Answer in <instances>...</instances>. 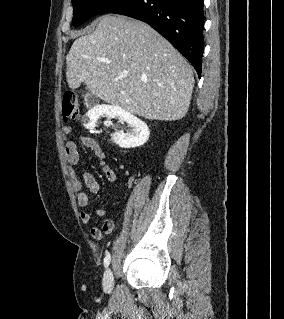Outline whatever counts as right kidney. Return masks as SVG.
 <instances>
[{"instance_id": "1", "label": "right kidney", "mask_w": 284, "mask_h": 319, "mask_svg": "<svg viewBox=\"0 0 284 319\" xmlns=\"http://www.w3.org/2000/svg\"><path fill=\"white\" fill-rule=\"evenodd\" d=\"M101 116H106L108 119L118 118L131 127L126 133L116 131L111 135L112 140L121 148L140 147L147 142L150 135L147 124L132 113L117 106L98 105L90 109L83 120L85 128L94 129Z\"/></svg>"}]
</instances>
